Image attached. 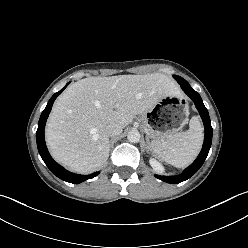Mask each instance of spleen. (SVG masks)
Here are the masks:
<instances>
[{"label": "spleen", "instance_id": "spleen-1", "mask_svg": "<svg viewBox=\"0 0 248 248\" xmlns=\"http://www.w3.org/2000/svg\"><path fill=\"white\" fill-rule=\"evenodd\" d=\"M203 143V128L197 117H192L189 129L171 135L162 142L153 144L154 152L167 163L183 168L191 164L200 152Z\"/></svg>", "mask_w": 248, "mask_h": 248}]
</instances>
